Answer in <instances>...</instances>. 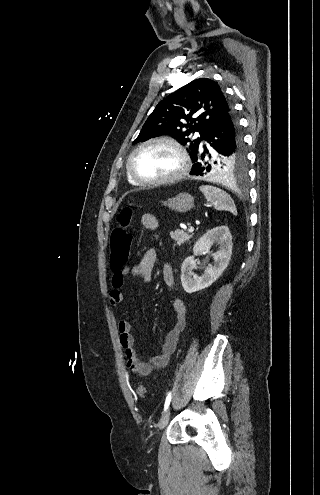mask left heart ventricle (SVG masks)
Here are the masks:
<instances>
[{
  "label": "left heart ventricle",
  "instance_id": "left-heart-ventricle-1",
  "mask_svg": "<svg viewBox=\"0 0 320 495\" xmlns=\"http://www.w3.org/2000/svg\"><path fill=\"white\" fill-rule=\"evenodd\" d=\"M180 167L177 152L167 144H152L141 149L133 159V170L142 179L170 176Z\"/></svg>",
  "mask_w": 320,
  "mask_h": 495
}]
</instances>
